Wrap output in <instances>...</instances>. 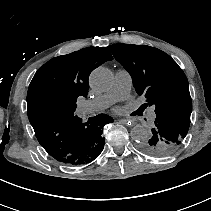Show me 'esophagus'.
<instances>
[{
    "label": "esophagus",
    "instance_id": "1",
    "mask_svg": "<svg viewBox=\"0 0 211 211\" xmlns=\"http://www.w3.org/2000/svg\"><path fill=\"white\" fill-rule=\"evenodd\" d=\"M120 123L126 124L128 128H133L134 127V122L132 118H121L118 119Z\"/></svg>",
    "mask_w": 211,
    "mask_h": 211
}]
</instances>
